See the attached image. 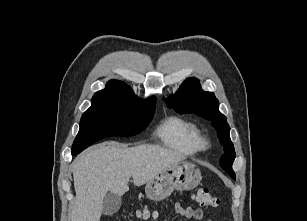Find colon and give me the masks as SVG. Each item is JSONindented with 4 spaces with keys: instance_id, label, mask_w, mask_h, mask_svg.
Segmentation results:
<instances>
[{
    "instance_id": "obj_1",
    "label": "colon",
    "mask_w": 307,
    "mask_h": 221,
    "mask_svg": "<svg viewBox=\"0 0 307 221\" xmlns=\"http://www.w3.org/2000/svg\"><path fill=\"white\" fill-rule=\"evenodd\" d=\"M194 199L199 205L205 208H214L219 205L218 198L205 187H199L195 190ZM142 215L144 217L153 216L149 211H144Z\"/></svg>"
}]
</instances>
